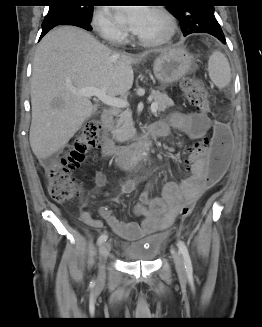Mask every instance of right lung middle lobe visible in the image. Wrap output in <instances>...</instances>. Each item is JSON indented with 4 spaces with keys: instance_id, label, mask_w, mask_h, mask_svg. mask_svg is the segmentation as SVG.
I'll use <instances>...</instances> for the list:
<instances>
[{
    "instance_id": "right-lung-middle-lobe-1",
    "label": "right lung middle lobe",
    "mask_w": 262,
    "mask_h": 327,
    "mask_svg": "<svg viewBox=\"0 0 262 327\" xmlns=\"http://www.w3.org/2000/svg\"><path fill=\"white\" fill-rule=\"evenodd\" d=\"M63 1H68L70 3L66 5L50 6L48 14L46 15L44 20H48L59 16H75L85 19L87 21H91L93 6L75 5L71 2L73 0H63Z\"/></svg>"
}]
</instances>
